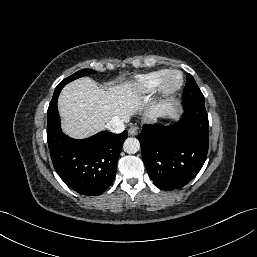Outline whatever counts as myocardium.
Returning a JSON list of instances; mask_svg holds the SVG:
<instances>
[{"instance_id":"obj_1","label":"myocardium","mask_w":257,"mask_h":257,"mask_svg":"<svg viewBox=\"0 0 257 257\" xmlns=\"http://www.w3.org/2000/svg\"><path fill=\"white\" fill-rule=\"evenodd\" d=\"M173 75H177L179 77V82L174 86L170 85V83H169V79ZM183 82H184V77H183L182 72H180L179 70L167 71V73L162 78L161 83L158 87L159 96L162 99H167V98L174 96L182 88Z\"/></svg>"}]
</instances>
